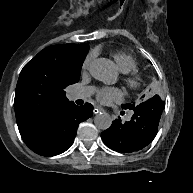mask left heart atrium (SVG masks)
Wrapping results in <instances>:
<instances>
[{"mask_svg": "<svg viewBox=\"0 0 193 193\" xmlns=\"http://www.w3.org/2000/svg\"><path fill=\"white\" fill-rule=\"evenodd\" d=\"M119 96L118 90L111 88V87H105L99 91L98 97L99 99L103 100L106 98H116Z\"/></svg>", "mask_w": 193, "mask_h": 193, "instance_id": "obj_1", "label": "left heart atrium"}]
</instances>
